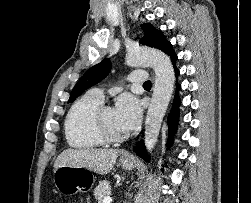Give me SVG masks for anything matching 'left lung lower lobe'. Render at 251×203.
<instances>
[{"label": "left lung lower lobe", "instance_id": "1", "mask_svg": "<svg viewBox=\"0 0 251 203\" xmlns=\"http://www.w3.org/2000/svg\"><path fill=\"white\" fill-rule=\"evenodd\" d=\"M166 53L168 56H170L171 61L174 65L175 68V75H179V70L176 68L175 62L177 60V55L175 54L171 43H169L166 48L163 51ZM181 89V85L177 82L176 84V93L174 96V102L172 105L171 112L168 116V125H169V140H168V146H171L172 141H173V135L177 129V124H178V115H179V105L181 103L180 98H179V90ZM134 151L137 153L138 156L142 157L145 161L149 162V157L147 156L145 152V147L143 141H140L137 143V145L134 147Z\"/></svg>", "mask_w": 251, "mask_h": 203}]
</instances>
